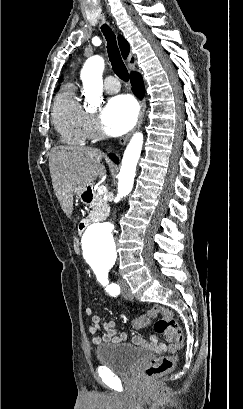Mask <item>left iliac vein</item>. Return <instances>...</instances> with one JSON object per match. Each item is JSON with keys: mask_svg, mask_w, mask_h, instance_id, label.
<instances>
[{"mask_svg": "<svg viewBox=\"0 0 243 409\" xmlns=\"http://www.w3.org/2000/svg\"><path fill=\"white\" fill-rule=\"evenodd\" d=\"M118 284H119V286L121 288L122 295L128 300H132L133 296L131 294V291H130V288H129V285L127 284V282L125 280H119Z\"/></svg>", "mask_w": 243, "mask_h": 409, "instance_id": "4c4485c4", "label": "left iliac vein"}]
</instances>
